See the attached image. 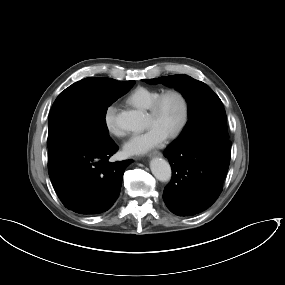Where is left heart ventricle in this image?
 Returning <instances> with one entry per match:
<instances>
[{"label":"left heart ventricle","mask_w":285,"mask_h":285,"mask_svg":"<svg viewBox=\"0 0 285 285\" xmlns=\"http://www.w3.org/2000/svg\"><path fill=\"white\" fill-rule=\"evenodd\" d=\"M182 103L175 95L168 96L162 103L158 115L148 116V126H158L166 135L173 131L182 117Z\"/></svg>","instance_id":"obj_1"}]
</instances>
